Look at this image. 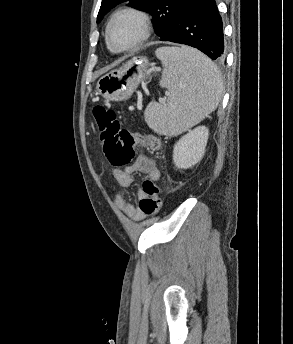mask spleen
Masks as SVG:
<instances>
[{
	"instance_id": "1",
	"label": "spleen",
	"mask_w": 293,
	"mask_h": 344,
	"mask_svg": "<svg viewBox=\"0 0 293 344\" xmlns=\"http://www.w3.org/2000/svg\"><path fill=\"white\" fill-rule=\"evenodd\" d=\"M155 55L164 67L160 86L167 88V99L150 102L144 118L158 134L179 135L217 108L223 78L216 65L196 49L161 47Z\"/></svg>"
}]
</instances>
